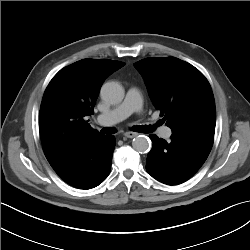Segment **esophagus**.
Returning <instances> with one entry per match:
<instances>
[{
  "instance_id": "1",
  "label": "esophagus",
  "mask_w": 250,
  "mask_h": 250,
  "mask_svg": "<svg viewBox=\"0 0 250 250\" xmlns=\"http://www.w3.org/2000/svg\"><path fill=\"white\" fill-rule=\"evenodd\" d=\"M124 136L127 138H134L137 136V133L129 131V132H125Z\"/></svg>"
}]
</instances>
